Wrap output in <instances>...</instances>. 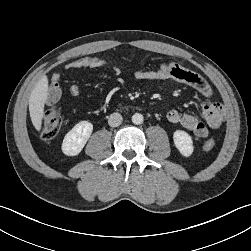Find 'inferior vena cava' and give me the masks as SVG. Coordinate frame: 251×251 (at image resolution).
<instances>
[{"label": "inferior vena cava", "instance_id": "obj_1", "mask_svg": "<svg viewBox=\"0 0 251 251\" xmlns=\"http://www.w3.org/2000/svg\"><path fill=\"white\" fill-rule=\"evenodd\" d=\"M122 121H123V118H122L121 114L113 113L109 116L108 124L111 127H117L122 123Z\"/></svg>", "mask_w": 251, "mask_h": 251}]
</instances>
